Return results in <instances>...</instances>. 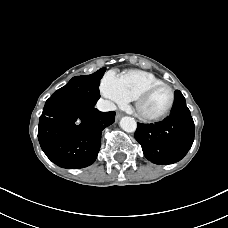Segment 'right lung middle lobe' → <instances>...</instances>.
Returning a JSON list of instances; mask_svg holds the SVG:
<instances>
[{"label": "right lung middle lobe", "mask_w": 228, "mask_h": 228, "mask_svg": "<svg viewBox=\"0 0 228 228\" xmlns=\"http://www.w3.org/2000/svg\"><path fill=\"white\" fill-rule=\"evenodd\" d=\"M101 68L91 75L73 77L64 87L55 91L50 98L72 102L81 107H93L100 98L99 84L105 72Z\"/></svg>", "instance_id": "obj_1"}]
</instances>
